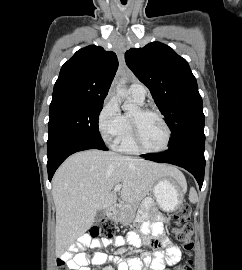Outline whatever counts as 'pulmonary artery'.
I'll use <instances>...</instances> for the list:
<instances>
[{
    "instance_id": "pulmonary-artery-1",
    "label": "pulmonary artery",
    "mask_w": 242,
    "mask_h": 270,
    "mask_svg": "<svg viewBox=\"0 0 242 270\" xmlns=\"http://www.w3.org/2000/svg\"><path fill=\"white\" fill-rule=\"evenodd\" d=\"M146 93L147 91L145 86L139 82L133 83L129 88L130 96L139 103L144 102Z\"/></svg>"
}]
</instances>
